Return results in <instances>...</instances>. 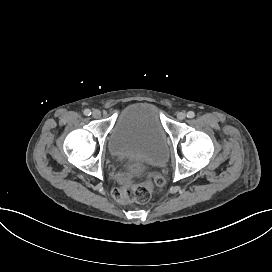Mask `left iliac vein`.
Wrapping results in <instances>:
<instances>
[{
    "mask_svg": "<svg viewBox=\"0 0 272 272\" xmlns=\"http://www.w3.org/2000/svg\"><path fill=\"white\" fill-rule=\"evenodd\" d=\"M186 117V114L184 112H178L177 113V119L178 120H184Z\"/></svg>",
    "mask_w": 272,
    "mask_h": 272,
    "instance_id": "left-iliac-vein-1",
    "label": "left iliac vein"
}]
</instances>
